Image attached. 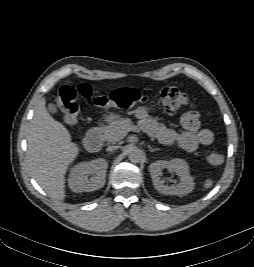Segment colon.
<instances>
[{"label":"colon","mask_w":254,"mask_h":267,"mask_svg":"<svg viewBox=\"0 0 254 267\" xmlns=\"http://www.w3.org/2000/svg\"><path fill=\"white\" fill-rule=\"evenodd\" d=\"M79 96L92 99L94 105L102 110L131 109L149 101L146 96L135 89H117L108 95L94 96L93 90L88 84L65 85L59 90L56 101L66 124H75L78 120L80 112ZM153 103L160 111L167 114L175 113L192 105L189 97L173 86L162 89ZM205 161L209 166L219 168L223 163V156L218 151L212 150L206 153Z\"/></svg>","instance_id":"colon-1"}]
</instances>
